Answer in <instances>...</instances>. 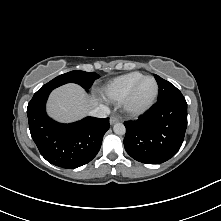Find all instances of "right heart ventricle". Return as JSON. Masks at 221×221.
I'll use <instances>...</instances> for the list:
<instances>
[{
    "label": "right heart ventricle",
    "mask_w": 221,
    "mask_h": 221,
    "mask_svg": "<svg viewBox=\"0 0 221 221\" xmlns=\"http://www.w3.org/2000/svg\"><path fill=\"white\" fill-rule=\"evenodd\" d=\"M143 76L140 72H130L118 76L105 84L103 94L111 101H121L127 96L133 85Z\"/></svg>",
    "instance_id": "1"
}]
</instances>
